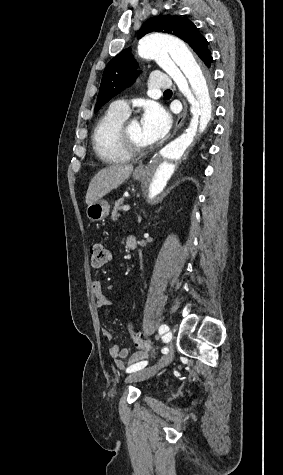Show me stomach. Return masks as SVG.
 I'll return each instance as SVG.
<instances>
[{
    "mask_svg": "<svg viewBox=\"0 0 283 475\" xmlns=\"http://www.w3.org/2000/svg\"><path fill=\"white\" fill-rule=\"evenodd\" d=\"M139 168H143L146 172H133L134 180H144L147 178L149 174V168H144V166H139ZM110 212V206L106 200H98V202H94V204H89L86 214L87 218L91 220V222H100V220H104L106 216H108Z\"/></svg>",
    "mask_w": 283,
    "mask_h": 475,
    "instance_id": "obj_1",
    "label": "stomach"
}]
</instances>
